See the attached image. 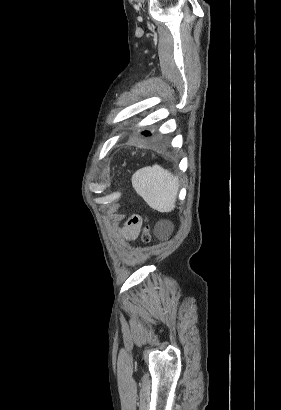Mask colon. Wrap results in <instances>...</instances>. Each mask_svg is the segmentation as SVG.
Masks as SVG:
<instances>
[{"label":"colon","instance_id":"obj_1","mask_svg":"<svg viewBox=\"0 0 281 410\" xmlns=\"http://www.w3.org/2000/svg\"><path fill=\"white\" fill-rule=\"evenodd\" d=\"M130 221L133 223H138L141 226L142 228L141 239L144 243H148L150 240V234H149V227L147 224V219L141 218L140 216L135 215L130 219Z\"/></svg>","mask_w":281,"mask_h":410}]
</instances>
